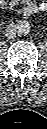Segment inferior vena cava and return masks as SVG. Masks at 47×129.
I'll list each match as a JSON object with an SVG mask.
<instances>
[{
	"mask_svg": "<svg viewBox=\"0 0 47 129\" xmlns=\"http://www.w3.org/2000/svg\"><path fill=\"white\" fill-rule=\"evenodd\" d=\"M15 34H16V30L14 28H9L7 31H6V36L10 39L14 38L15 37Z\"/></svg>",
	"mask_w": 47,
	"mask_h": 129,
	"instance_id": "602c4592",
	"label": "inferior vena cava"
}]
</instances>
